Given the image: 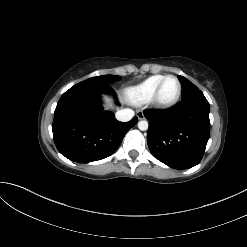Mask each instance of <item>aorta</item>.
<instances>
[{
	"mask_svg": "<svg viewBox=\"0 0 247 247\" xmlns=\"http://www.w3.org/2000/svg\"><path fill=\"white\" fill-rule=\"evenodd\" d=\"M148 122L145 121V120H141L138 122V128L141 130V131H146L148 129Z\"/></svg>",
	"mask_w": 247,
	"mask_h": 247,
	"instance_id": "762f6f07",
	"label": "aorta"
}]
</instances>
